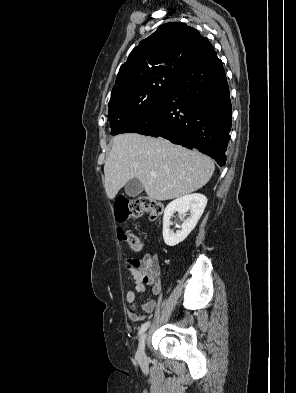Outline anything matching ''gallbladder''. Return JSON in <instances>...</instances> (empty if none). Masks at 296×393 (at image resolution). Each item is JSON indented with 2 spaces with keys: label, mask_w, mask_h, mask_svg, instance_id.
Masks as SVG:
<instances>
[{
  "label": "gallbladder",
  "mask_w": 296,
  "mask_h": 393,
  "mask_svg": "<svg viewBox=\"0 0 296 393\" xmlns=\"http://www.w3.org/2000/svg\"><path fill=\"white\" fill-rule=\"evenodd\" d=\"M143 190V185L137 178L129 180L125 185V193L130 197L138 196Z\"/></svg>",
  "instance_id": "obj_1"
}]
</instances>
